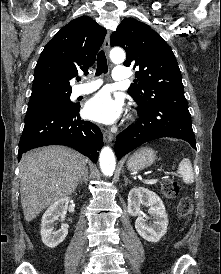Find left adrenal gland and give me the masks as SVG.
<instances>
[{
    "label": "left adrenal gland",
    "instance_id": "obj_1",
    "mask_svg": "<svg viewBox=\"0 0 221 274\" xmlns=\"http://www.w3.org/2000/svg\"><path fill=\"white\" fill-rule=\"evenodd\" d=\"M124 182H125V186L128 184V183H131L128 178L126 176H124Z\"/></svg>",
    "mask_w": 221,
    "mask_h": 274
}]
</instances>
